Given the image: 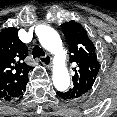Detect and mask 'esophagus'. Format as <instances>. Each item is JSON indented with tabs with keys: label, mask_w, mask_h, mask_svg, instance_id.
<instances>
[{
	"label": "esophagus",
	"mask_w": 117,
	"mask_h": 117,
	"mask_svg": "<svg viewBox=\"0 0 117 117\" xmlns=\"http://www.w3.org/2000/svg\"><path fill=\"white\" fill-rule=\"evenodd\" d=\"M40 62L42 64H44L46 67H48V68H50L52 66L51 56L50 55H46L44 57H41Z\"/></svg>",
	"instance_id": "1"
}]
</instances>
